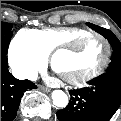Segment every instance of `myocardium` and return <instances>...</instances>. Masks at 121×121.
I'll list each match as a JSON object with an SVG mask.
<instances>
[{
	"label": "myocardium",
	"mask_w": 121,
	"mask_h": 121,
	"mask_svg": "<svg viewBox=\"0 0 121 121\" xmlns=\"http://www.w3.org/2000/svg\"><path fill=\"white\" fill-rule=\"evenodd\" d=\"M97 38L100 39L105 46V56L102 64L95 70L81 74V75H71V76H62L63 80L66 83L69 84H78V83H84L86 81H89L97 76H99L108 66L110 56H111V45L109 40L103 36L102 34L99 33H87L81 37H79L74 43L68 45V46H58L51 54L50 56V66L53 71H56L55 68V59L56 57L61 54V53H68V54H73L75 53V49L77 48L78 45H81L85 42H87L90 39Z\"/></svg>",
	"instance_id": "f54148a6"
}]
</instances>
